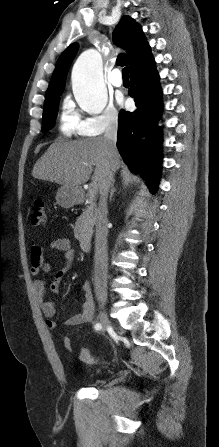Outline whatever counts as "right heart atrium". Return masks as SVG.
Listing matches in <instances>:
<instances>
[{
	"label": "right heart atrium",
	"instance_id": "right-heart-atrium-1",
	"mask_svg": "<svg viewBox=\"0 0 219 447\" xmlns=\"http://www.w3.org/2000/svg\"><path fill=\"white\" fill-rule=\"evenodd\" d=\"M119 123V113L113 107H107L100 115L84 120V129L88 135H100L115 128Z\"/></svg>",
	"mask_w": 219,
	"mask_h": 447
}]
</instances>
